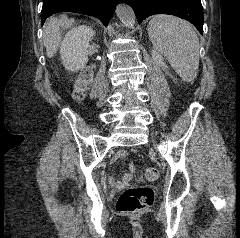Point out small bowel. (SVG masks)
<instances>
[{"label":"small bowel","mask_w":240,"mask_h":238,"mask_svg":"<svg viewBox=\"0 0 240 238\" xmlns=\"http://www.w3.org/2000/svg\"><path fill=\"white\" fill-rule=\"evenodd\" d=\"M127 156V151L121 150L115 154L113 157V161L121 160ZM128 170L131 171V174H138V169L136 166H133L131 163H129ZM121 174L124 172L121 171ZM108 182L106 183L107 187H125L126 186V180L125 179H116V175H107Z\"/></svg>","instance_id":"1"}]
</instances>
